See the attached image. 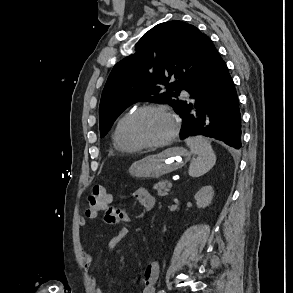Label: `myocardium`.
<instances>
[{"mask_svg": "<svg viewBox=\"0 0 293 293\" xmlns=\"http://www.w3.org/2000/svg\"><path fill=\"white\" fill-rule=\"evenodd\" d=\"M147 111H159L168 116V118L170 119L172 123V130L167 137L156 142H146V141L138 139L134 135L133 126H134V122L136 118L140 114ZM178 131H179V121L176 115L168 107L164 105H160V104H146L136 108L135 110L130 112L124 127L125 137L127 141L140 148H159V147L166 146L167 144H169L175 139V137L178 134Z\"/></svg>", "mask_w": 293, "mask_h": 293, "instance_id": "f54148a6", "label": "myocardium"}]
</instances>
